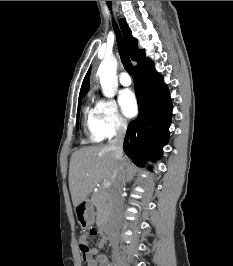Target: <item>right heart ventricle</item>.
<instances>
[{
	"label": "right heart ventricle",
	"instance_id": "e07e8e85",
	"mask_svg": "<svg viewBox=\"0 0 233 266\" xmlns=\"http://www.w3.org/2000/svg\"><path fill=\"white\" fill-rule=\"evenodd\" d=\"M98 110L96 107L86 106L84 110V126L87 135L92 142H100L103 137L96 130Z\"/></svg>",
	"mask_w": 233,
	"mask_h": 266
}]
</instances>
